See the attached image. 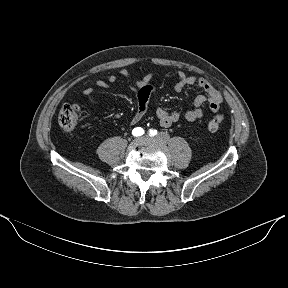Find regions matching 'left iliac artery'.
<instances>
[{"instance_id":"44dca946","label":"left iliac artery","mask_w":288,"mask_h":288,"mask_svg":"<svg viewBox=\"0 0 288 288\" xmlns=\"http://www.w3.org/2000/svg\"><path fill=\"white\" fill-rule=\"evenodd\" d=\"M157 134V130H155V129H150L149 130V135L150 136H155Z\"/></svg>"}]
</instances>
